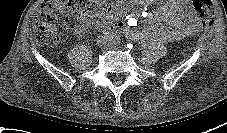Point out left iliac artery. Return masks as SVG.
Instances as JSON below:
<instances>
[{
	"mask_svg": "<svg viewBox=\"0 0 227 133\" xmlns=\"http://www.w3.org/2000/svg\"><path fill=\"white\" fill-rule=\"evenodd\" d=\"M120 41H121L120 36L119 35H115V37H114V43L115 44H120Z\"/></svg>",
	"mask_w": 227,
	"mask_h": 133,
	"instance_id": "1",
	"label": "left iliac artery"
}]
</instances>
